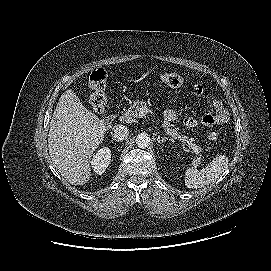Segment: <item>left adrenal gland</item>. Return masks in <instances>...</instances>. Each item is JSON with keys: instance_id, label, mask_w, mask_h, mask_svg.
Wrapping results in <instances>:
<instances>
[{"instance_id": "left-adrenal-gland-1", "label": "left adrenal gland", "mask_w": 271, "mask_h": 271, "mask_svg": "<svg viewBox=\"0 0 271 271\" xmlns=\"http://www.w3.org/2000/svg\"><path fill=\"white\" fill-rule=\"evenodd\" d=\"M170 141L171 139H168L167 137H159L158 136V138H157V142H158V144H161V143H164V142H166V141Z\"/></svg>"}]
</instances>
